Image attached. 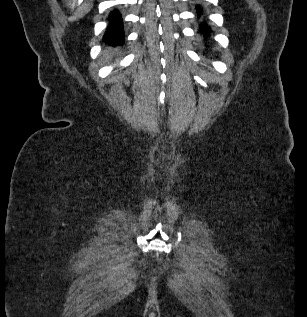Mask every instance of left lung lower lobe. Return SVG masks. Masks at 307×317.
<instances>
[{
	"label": "left lung lower lobe",
	"instance_id": "obj_1",
	"mask_svg": "<svg viewBox=\"0 0 307 317\" xmlns=\"http://www.w3.org/2000/svg\"><path fill=\"white\" fill-rule=\"evenodd\" d=\"M196 10H197V15H198V19L203 15V9L200 5L196 6ZM200 31L204 36V41H205V45L208 46L209 44L208 42V36L210 35V28L208 27L207 23L204 21H202L200 23Z\"/></svg>",
	"mask_w": 307,
	"mask_h": 317
}]
</instances>
